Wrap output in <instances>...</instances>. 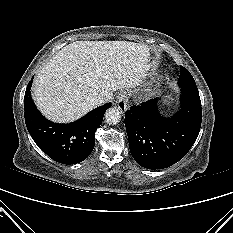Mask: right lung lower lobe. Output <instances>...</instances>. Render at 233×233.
I'll list each match as a JSON object with an SVG mask.
<instances>
[{
	"mask_svg": "<svg viewBox=\"0 0 233 233\" xmlns=\"http://www.w3.org/2000/svg\"><path fill=\"white\" fill-rule=\"evenodd\" d=\"M31 86L32 80L25 92L24 117L37 146L51 159L62 164H76L85 160L94 148L95 132L111 103L92 110L73 123L57 124L47 120L36 108L31 98Z\"/></svg>",
	"mask_w": 233,
	"mask_h": 233,
	"instance_id": "1",
	"label": "right lung lower lobe"
}]
</instances>
